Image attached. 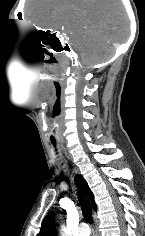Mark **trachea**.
I'll return each mask as SVG.
<instances>
[{
    "mask_svg": "<svg viewBox=\"0 0 145 236\" xmlns=\"http://www.w3.org/2000/svg\"><path fill=\"white\" fill-rule=\"evenodd\" d=\"M52 143H53L54 146L56 145L55 142H52ZM77 195H78L79 204H80V206L82 208L84 219L89 224H92L93 223L92 208H91V205H90L89 201L80 192H78Z\"/></svg>",
    "mask_w": 145,
    "mask_h": 236,
    "instance_id": "trachea-1",
    "label": "trachea"
}]
</instances>
